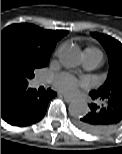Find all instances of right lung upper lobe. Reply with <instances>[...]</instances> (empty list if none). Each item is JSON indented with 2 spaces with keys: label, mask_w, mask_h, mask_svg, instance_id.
Segmentation results:
<instances>
[{
  "label": "right lung upper lobe",
  "mask_w": 122,
  "mask_h": 154,
  "mask_svg": "<svg viewBox=\"0 0 122 154\" xmlns=\"http://www.w3.org/2000/svg\"><path fill=\"white\" fill-rule=\"evenodd\" d=\"M5 29L19 31L30 45L47 55L51 54L57 41L68 33L65 30H45L29 23L13 24ZM3 87L6 85L1 84Z\"/></svg>",
  "instance_id": "1"
}]
</instances>
